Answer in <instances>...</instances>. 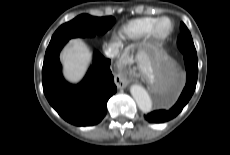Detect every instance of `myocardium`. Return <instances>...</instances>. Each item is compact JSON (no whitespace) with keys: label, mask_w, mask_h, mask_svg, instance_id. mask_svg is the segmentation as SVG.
Listing matches in <instances>:
<instances>
[{"label":"myocardium","mask_w":230,"mask_h":155,"mask_svg":"<svg viewBox=\"0 0 230 155\" xmlns=\"http://www.w3.org/2000/svg\"><path fill=\"white\" fill-rule=\"evenodd\" d=\"M164 22H168L170 27L167 31L163 32L161 30V25L164 23ZM174 31V22L171 18L167 17V16H163V17H160L156 20V22L154 23L153 27H152V30H151V37L154 38L155 40H158V41H164L166 39H168L172 33Z\"/></svg>","instance_id":"obj_1"}]
</instances>
